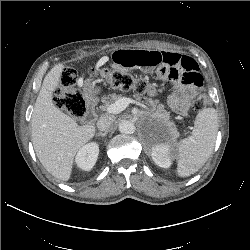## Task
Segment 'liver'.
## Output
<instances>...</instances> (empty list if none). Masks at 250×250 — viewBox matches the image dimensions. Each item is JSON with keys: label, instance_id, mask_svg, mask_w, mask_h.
Here are the masks:
<instances>
[{"label": "liver", "instance_id": "1", "mask_svg": "<svg viewBox=\"0 0 250 250\" xmlns=\"http://www.w3.org/2000/svg\"><path fill=\"white\" fill-rule=\"evenodd\" d=\"M63 64L45 76L31 118L34 150L44 168L55 178L68 181L74 157L95 134L94 123L80 126L53 103V92L61 82Z\"/></svg>", "mask_w": 250, "mask_h": 250}]
</instances>
